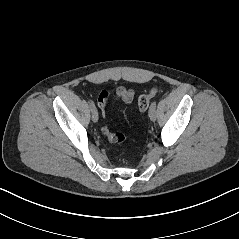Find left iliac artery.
I'll return each instance as SVG.
<instances>
[{"label": "left iliac artery", "instance_id": "left-iliac-artery-1", "mask_svg": "<svg viewBox=\"0 0 239 239\" xmlns=\"http://www.w3.org/2000/svg\"><path fill=\"white\" fill-rule=\"evenodd\" d=\"M156 108V101H153L152 103H151V106H150V109L149 110H153V109H155Z\"/></svg>", "mask_w": 239, "mask_h": 239}]
</instances>
